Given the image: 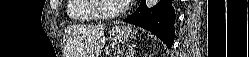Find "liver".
I'll return each instance as SVG.
<instances>
[{
	"label": "liver",
	"instance_id": "obj_1",
	"mask_svg": "<svg viewBox=\"0 0 249 57\" xmlns=\"http://www.w3.org/2000/svg\"><path fill=\"white\" fill-rule=\"evenodd\" d=\"M104 29V25L68 27L65 34L72 57H98L106 43Z\"/></svg>",
	"mask_w": 249,
	"mask_h": 57
}]
</instances>
